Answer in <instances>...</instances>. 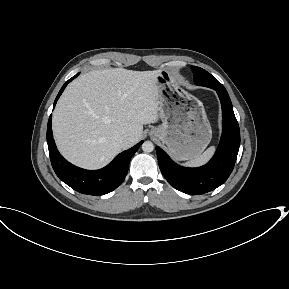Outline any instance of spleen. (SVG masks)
<instances>
[{"label": "spleen", "instance_id": "3e777b00", "mask_svg": "<svg viewBox=\"0 0 289 289\" xmlns=\"http://www.w3.org/2000/svg\"><path fill=\"white\" fill-rule=\"evenodd\" d=\"M215 147L208 148L202 155L197 156L196 158L185 163L187 166H201L205 164L213 155Z\"/></svg>", "mask_w": 289, "mask_h": 289}]
</instances>
